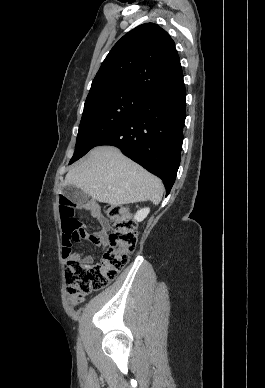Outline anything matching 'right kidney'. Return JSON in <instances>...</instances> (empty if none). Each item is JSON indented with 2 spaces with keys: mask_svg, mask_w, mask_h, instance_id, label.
I'll use <instances>...</instances> for the list:
<instances>
[{
  "mask_svg": "<svg viewBox=\"0 0 265 388\" xmlns=\"http://www.w3.org/2000/svg\"><path fill=\"white\" fill-rule=\"evenodd\" d=\"M149 212V208H142V210H138L137 214L134 216V220H136V222H143V220L147 218Z\"/></svg>",
  "mask_w": 265,
  "mask_h": 388,
  "instance_id": "1",
  "label": "right kidney"
}]
</instances>
